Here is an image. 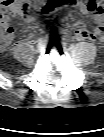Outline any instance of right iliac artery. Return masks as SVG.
Here are the masks:
<instances>
[{
    "label": "right iliac artery",
    "mask_w": 104,
    "mask_h": 137,
    "mask_svg": "<svg viewBox=\"0 0 104 137\" xmlns=\"http://www.w3.org/2000/svg\"><path fill=\"white\" fill-rule=\"evenodd\" d=\"M48 39L47 38H45V41H47ZM41 41V40H40Z\"/></svg>",
    "instance_id": "obj_1"
}]
</instances>
